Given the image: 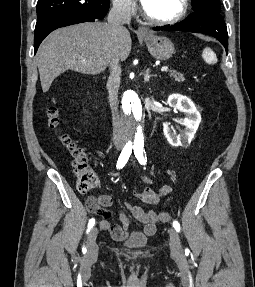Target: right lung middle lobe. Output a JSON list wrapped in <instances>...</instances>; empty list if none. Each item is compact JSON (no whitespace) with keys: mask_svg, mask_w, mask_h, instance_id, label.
Returning <instances> with one entry per match:
<instances>
[{"mask_svg":"<svg viewBox=\"0 0 255 287\" xmlns=\"http://www.w3.org/2000/svg\"><path fill=\"white\" fill-rule=\"evenodd\" d=\"M109 6L110 0H38L37 22L69 12H82L93 18L102 19Z\"/></svg>","mask_w":255,"mask_h":287,"instance_id":"right-lung-middle-lobe-1","label":"right lung middle lobe"}]
</instances>
